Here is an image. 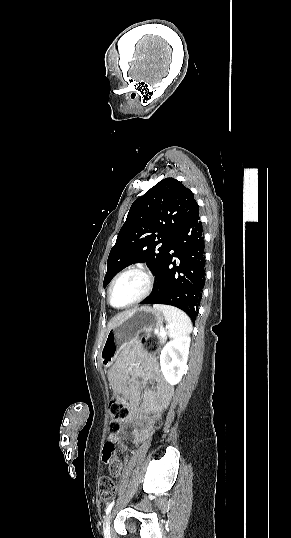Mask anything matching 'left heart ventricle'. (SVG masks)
<instances>
[{
  "mask_svg": "<svg viewBox=\"0 0 291 538\" xmlns=\"http://www.w3.org/2000/svg\"><path fill=\"white\" fill-rule=\"evenodd\" d=\"M144 277L137 273H130L121 277L114 285L112 302L115 306H122L139 296L145 289Z\"/></svg>",
  "mask_w": 291,
  "mask_h": 538,
  "instance_id": "obj_1",
  "label": "left heart ventricle"
}]
</instances>
